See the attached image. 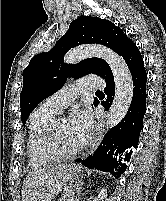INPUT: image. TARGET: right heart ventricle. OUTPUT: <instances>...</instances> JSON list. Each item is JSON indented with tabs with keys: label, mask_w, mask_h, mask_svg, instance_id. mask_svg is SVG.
I'll use <instances>...</instances> for the list:
<instances>
[{
	"label": "right heart ventricle",
	"mask_w": 166,
	"mask_h": 201,
	"mask_svg": "<svg viewBox=\"0 0 166 201\" xmlns=\"http://www.w3.org/2000/svg\"><path fill=\"white\" fill-rule=\"evenodd\" d=\"M56 114V112L41 105L30 116L28 125L27 153L29 165L32 168L41 167L55 160V157L43 150L41 146V135L45 126L53 117H55Z\"/></svg>",
	"instance_id": "e07e8e85"
}]
</instances>
